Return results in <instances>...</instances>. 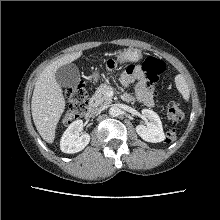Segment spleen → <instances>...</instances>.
<instances>
[{
    "label": "spleen",
    "instance_id": "3e777b00",
    "mask_svg": "<svg viewBox=\"0 0 220 220\" xmlns=\"http://www.w3.org/2000/svg\"><path fill=\"white\" fill-rule=\"evenodd\" d=\"M175 83L178 91L182 94L183 98L188 101L189 100V88L186 83V80L182 75H177L175 77Z\"/></svg>",
    "mask_w": 220,
    "mask_h": 220
}]
</instances>
